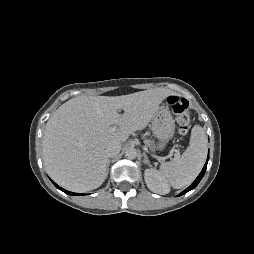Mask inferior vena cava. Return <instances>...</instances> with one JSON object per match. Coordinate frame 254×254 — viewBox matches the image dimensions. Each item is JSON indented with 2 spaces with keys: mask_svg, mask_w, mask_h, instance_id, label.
I'll return each mask as SVG.
<instances>
[{
  "mask_svg": "<svg viewBox=\"0 0 254 254\" xmlns=\"http://www.w3.org/2000/svg\"><path fill=\"white\" fill-rule=\"evenodd\" d=\"M121 150V143L120 142H111L108 144L105 150V154L107 158H111L114 155L118 154Z\"/></svg>",
  "mask_w": 254,
  "mask_h": 254,
  "instance_id": "602c4592",
  "label": "inferior vena cava"
}]
</instances>
